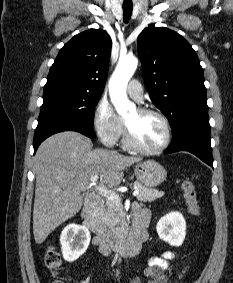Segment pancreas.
Segmentation results:
<instances>
[{
    "mask_svg": "<svg viewBox=\"0 0 233 283\" xmlns=\"http://www.w3.org/2000/svg\"><path fill=\"white\" fill-rule=\"evenodd\" d=\"M133 185L139 191V194L136 196L137 199L142 202H151L164 196L163 191L148 188L143 186L140 182L135 181ZM99 217L114 234L119 235L123 232L124 211L120 200L113 201L106 199L99 211Z\"/></svg>",
    "mask_w": 233,
    "mask_h": 283,
    "instance_id": "obj_1",
    "label": "pancreas"
}]
</instances>
